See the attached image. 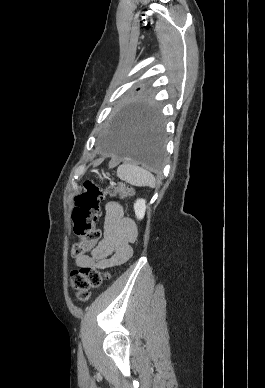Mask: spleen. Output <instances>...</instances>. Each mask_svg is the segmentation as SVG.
I'll return each instance as SVG.
<instances>
[{
  "instance_id": "3e777b00",
  "label": "spleen",
  "mask_w": 265,
  "mask_h": 388,
  "mask_svg": "<svg viewBox=\"0 0 265 388\" xmlns=\"http://www.w3.org/2000/svg\"><path fill=\"white\" fill-rule=\"evenodd\" d=\"M117 174L121 180H125L131 186H151V188L155 186L154 176L147 170H143L139 166H133V164L119 166Z\"/></svg>"
}]
</instances>
